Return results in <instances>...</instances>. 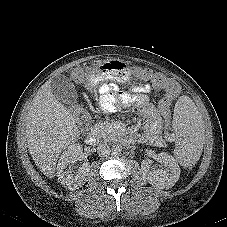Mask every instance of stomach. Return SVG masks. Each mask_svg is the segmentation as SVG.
I'll return each instance as SVG.
<instances>
[{
	"mask_svg": "<svg viewBox=\"0 0 227 227\" xmlns=\"http://www.w3.org/2000/svg\"><path fill=\"white\" fill-rule=\"evenodd\" d=\"M84 78L89 83H105L107 81H119L126 84H133L138 79L136 67L131 62H124L120 59L103 62L93 60L84 71Z\"/></svg>",
	"mask_w": 227,
	"mask_h": 227,
	"instance_id": "0dacf381",
	"label": "stomach"
}]
</instances>
